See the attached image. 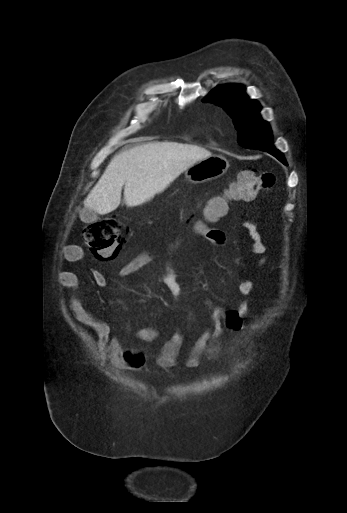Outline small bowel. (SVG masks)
<instances>
[{"label":"small bowel","instance_id":"small-bowel-1","mask_svg":"<svg viewBox=\"0 0 347 513\" xmlns=\"http://www.w3.org/2000/svg\"><path fill=\"white\" fill-rule=\"evenodd\" d=\"M244 227L250 240L251 251L255 254L264 255L260 263L264 265L267 261L265 256L267 247L257 223L253 220H247ZM194 234L215 246H223L227 240L225 231L220 228L195 227ZM182 243L183 238L175 241L169 246L168 253L172 254ZM81 255L82 249L79 246H71L65 249L63 256L67 261H75ZM151 260L152 255L149 252L139 253L121 267L119 275L121 277L131 276ZM160 278L173 296H181L184 293L171 267L170 260L164 264ZM57 279L60 287L70 292L69 308L75 320L82 326L94 331L98 352L119 368L131 371L142 369L146 364L144 349L141 347L125 349L121 338L111 336V326L107 322L96 318L83 306L77 295L80 284L76 275L69 271H61L58 273ZM92 279L99 287L107 285V280L101 272L93 273ZM235 288L240 297L235 307H223L207 302L209 310L208 325L186 354L185 366L187 368L195 369L199 367L203 357L216 359L220 351L219 341L223 334L225 332H236L243 328V320L250 311L247 298L253 294L254 285L251 280L242 277L237 281ZM131 334L141 342L153 343L159 339L161 332L155 327H144L133 331ZM183 341L182 332L176 329L157 354L155 363L158 368L167 370L177 365Z\"/></svg>","mask_w":347,"mask_h":513}]
</instances>
